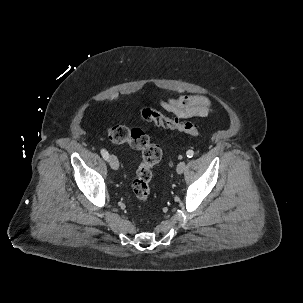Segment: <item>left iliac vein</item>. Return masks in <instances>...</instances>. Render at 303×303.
<instances>
[{
  "label": "left iliac vein",
  "instance_id": "4c4485c4",
  "mask_svg": "<svg viewBox=\"0 0 303 303\" xmlns=\"http://www.w3.org/2000/svg\"><path fill=\"white\" fill-rule=\"evenodd\" d=\"M185 169H186V163L184 161L179 162L176 168L177 173L182 174Z\"/></svg>",
  "mask_w": 303,
  "mask_h": 303
}]
</instances>
